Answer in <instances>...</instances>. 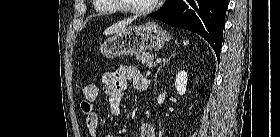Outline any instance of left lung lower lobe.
Listing matches in <instances>:
<instances>
[{"mask_svg": "<svg viewBox=\"0 0 280 137\" xmlns=\"http://www.w3.org/2000/svg\"><path fill=\"white\" fill-rule=\"evenodd\" d=\"M227 8L228 0H168L149 16L201 35L219 59Z\"/></svg>", "mask_w": 280, "mask_h": 137, "instance_id": "0a47b994", "label": "left lung lower lobe"}]
</instances>
